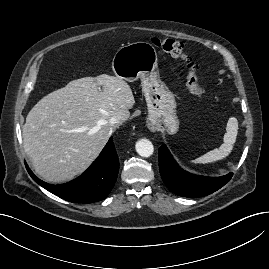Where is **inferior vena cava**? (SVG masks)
<instances>
[{"label": "inferior vena cava", "mask_w": 269, "mask_h": 269, "mask_svg": "<svg viewBox=\"0 0 269 269\" xmlns=\"http://www.w3.org/2000/svg\"><path fill=\"white\" fill-rule=\"evenodd\" d=\"M122 122H123V119L121 116H113L109 119V123L113 128H116Z\"/></svg>", "instance_id": "1"}]
</instances>
